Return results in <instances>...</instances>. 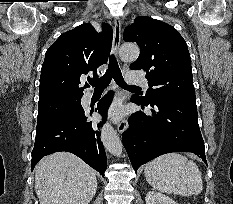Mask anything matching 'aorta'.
Returning a JSON list of instances; mask_svg holds the SVG:
<instances>
[{
	"label": "aorta",
	"instance_id": "762f6f07",
	"mask_svg": "<svg viewBox=\"0 0 233 204\" xmlns=\"http://www.w3.org/2000/svg\"><path fill=\"white\" fill-rule=\"evenodd\" d=\"M140 50L135 44H124L120 48V56L123 60L134 61L138 58ZM101 140L105 148L114 156L120 157L123 146L117 132L110 124H105L101 130Z\"/></svg>",
	"mask_w": 233,
	"mask_h": 204
}]
</instances>
